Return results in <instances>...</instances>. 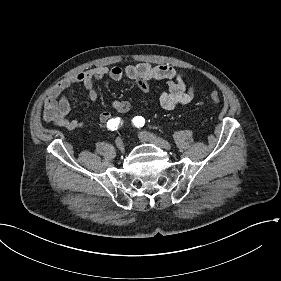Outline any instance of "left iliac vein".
Returning a JSON list of instances; mask_svg holds the SVG:
<instances>
[{"label": "left iliac vein", "mask_w": 281, "mask_h": 281, "mask_svg": "<svg viewBox=\"0 0 281 281\" xmlns=\"http://www.w3.org/2000/svg\"><path fill=\"white\" fill-rule=\"evenodd\" d=\"M139 139L142 142H150L166 150H170L171 148L170 144L166 140L149 132H145V131L141 132L139 134Z\"/></svg>", "instance_id": "left-iliac-vein-1"}]
</instances>
